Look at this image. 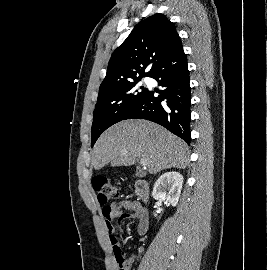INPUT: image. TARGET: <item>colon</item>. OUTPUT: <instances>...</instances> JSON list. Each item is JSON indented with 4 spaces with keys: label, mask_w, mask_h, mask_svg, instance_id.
<instances>
[{
    "label": "colon",
    "mask_w": 267,
    "mask_h": 270,
    "mask_svg": "<svg viewBox=\"0 0 267 270\" xmlns=\"http://www.w3.org/2000/svg\"><path fill=\"white\" fill-rule=\"evenodd\" d=\"M92 185L95 192L97 193L98 200L101 204H106L110 200L119 197L120 194L119 187L107 177L98 176L94 178ZM114 254L120 270H128L130 261L126 257L123 248L120 245H118L117 238L115 239Z\"/></svg>",
    "instance_id": "5ec220e1"
}]
</instances>
